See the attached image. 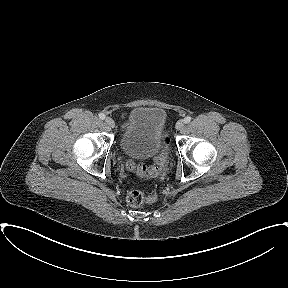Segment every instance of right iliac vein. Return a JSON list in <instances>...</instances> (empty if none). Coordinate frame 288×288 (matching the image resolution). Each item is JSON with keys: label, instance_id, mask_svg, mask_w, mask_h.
Returning <instances> with one entry per match:
<instances>
[{"label": "right iliac vein", "instance_id": "63e3f726", "mask_svg": "<svg viewBox=\"0 0 288 288\" xmlns=\"http://www.w3.org/2000/svg\"><path fill=\"white\" fill-rule=\"evenodd\" d=\"M105 121H106L107 125L110 126L111 128H113L115 126V122L111 117H106Z\"/></svg>", "mask_w": 288, "mask_h": 288}]
</instances>
